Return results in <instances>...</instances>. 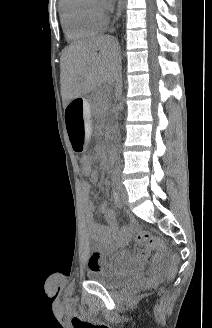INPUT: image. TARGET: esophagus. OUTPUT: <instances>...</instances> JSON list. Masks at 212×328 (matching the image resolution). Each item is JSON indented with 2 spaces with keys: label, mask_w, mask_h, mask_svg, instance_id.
Wrapping results in <instances>:
<instances>
[{
  "label": "esophagus",
  "mask_w": 212,
  "mask_h": 328,
  "mask_svg": "<svg viewBox=\"0 0 212 328\" xmlns=\"http://www.w3.org/2000/svg\"><path fill=\"white\" fill-rule=\"evenodd\" d=\"M124 1L125 0H118L116 20H118L121 17Z\"/></svg>",
  "instance_id": "esophagus-1"
}]
</instances>
